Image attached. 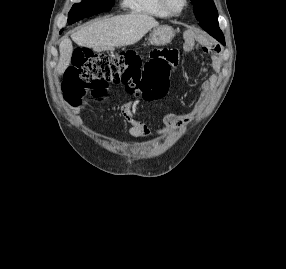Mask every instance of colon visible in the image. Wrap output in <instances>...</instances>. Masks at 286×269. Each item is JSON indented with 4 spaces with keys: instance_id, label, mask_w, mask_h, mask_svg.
<instances>
[{
    "instance_id": "colon-1",
    "label": "colon",
    "mask_w": 286,
    "mask_h": 269,
    "mask_svg": "<svg viewBox=\"0 0 286 269\" xmlns=\"http://www.w3.org/2000/svg\"><path fill=\"white\" fill-rule=\"evenodd\" d=\"M177 55L173 49L154 50L150 60L143 61L131 50L97 54L88 47H80L64 84L65 99L71 105H77L87 92L100 97L109 83L124 85L130 94L157 99L169 86L172 61Z\"/></svg>"
}]
</instances>
